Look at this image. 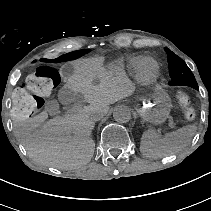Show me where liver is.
<instances>
[{"instance_id": "obj_1", "label": "liver", "mask_w": 211, "mask_h": 211, "mask_svg": "<svg viewBox=\"0 0 211 211\" xmlns=\"http://www.w3.org/2000/svg\"><path fill=\"white\" fill-rule=\"evenodd\" d=\"M96 65L81 62L74 65L73 74L66 78V84L81 92L90 106H85L68 118L55 117L47 120V113L41 112L28 120L15 122V136L28 153L43 165L58 169H75L88 163L95 150L92 131L96 112L102 116L108 105L127 97L123 82L108 79L98 85L92 84L88 75Z\"/></svg>"}]
</instances>
